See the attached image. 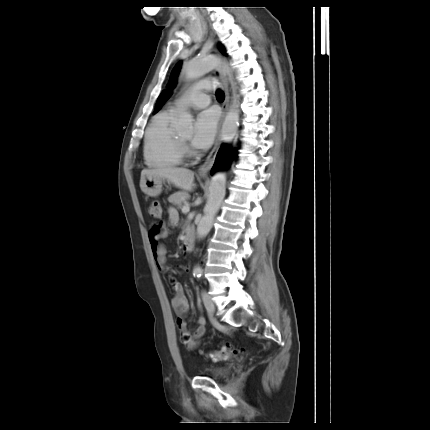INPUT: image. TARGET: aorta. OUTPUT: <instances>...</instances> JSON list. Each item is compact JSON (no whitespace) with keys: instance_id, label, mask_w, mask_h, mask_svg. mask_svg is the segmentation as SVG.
<instances>
[{"instance_id":"762f6f07","label":"aorta","mask_w":430,"mask_h":430,"mask_svg":"<svg viewBox=\"0 0 430 430\" xmlns=\"http://www.w3.org/2000/svg\"><path fill=\"white\" fill-rule=\"evenodd\" d=\"M221 66L224 67L227 75L232 81V74L229 67L224 64L221 58L215 55L197 56L187 60L183 65V73L187 80H194L204 76L213 69L220 68ZM238 103V95H234L233 104L230 106V109L227 112L221 129L220 139L224 143H229L237 132L240 117ZM177 128L178 130L184 132L192 131L193 117L188 111L183 110L179 113ZM225 184L226 176L223 172H216L212 176L205 213L197 226L196 233L199 239L204 238L210 232L213 226L214 218L218 213L221 203L225 197ZM195 270L199 271L200 268L196 267Z\"/></svg>"}]
</instances>
